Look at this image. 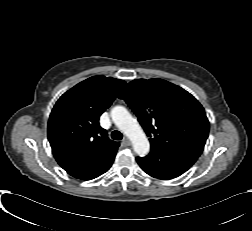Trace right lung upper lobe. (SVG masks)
<instances>
[{
	"label": "right lung upper lobe",
	"mask_w": 252,
	"mask_h": 231,
	"mask_svg": "<svg viewBox=\"0 0 252 231\" xmlns=\"http://www.w3.org/2000/svg\"><path fill=\"white\" fill-rule=\"evenodd\" d=\"M124 84L111 77H91L56 102L48 121V140L56 161L71 176L90 180L111 167L119 143L107 137L99 117Z\"/></svg>",
	"instance_id": "obj_1"
}]
</instances>
